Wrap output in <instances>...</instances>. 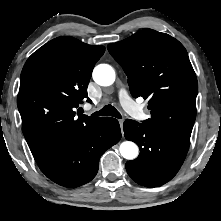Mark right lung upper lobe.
Masks as SVG:
<instances>
[{"mask_svg": "<svg viewBox=\"0 0 221 221\" xmlns=\"http://www.w3.org/2000/svg\"><path fill=\"white\" fill-rule=\"evenodd\" d=\"M101 45L73 37L55 38L26 61L20 77L17 105L22 131L37 164L93 126L100 118L78 114L87 96Z\"/></svg>", "mask_w": 221, "mask_h": 221, "instance_id": "obj_1", "label": "right lung upper lobe"}]
</instances>
